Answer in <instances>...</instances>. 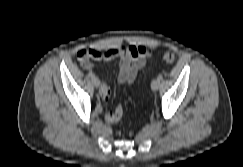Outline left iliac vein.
<instances>
[{"label":"left iliac vein","instance_id":"1","mask_svg":"<svg viewBox=\"0 0 243 167\" xmlns=\"http://www.w3.org/2000/svg\"><path fill=\"white\" fill-rule=\"evenodd\" d=\"M159 86H160V80H158V79H154V80L151 82V88H152L153 91L158 90Z\"/></svg>","mask_w":243,"mask_h":167}]
</instances>
